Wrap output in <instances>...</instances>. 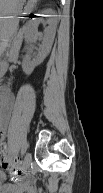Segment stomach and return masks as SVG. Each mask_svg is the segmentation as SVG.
<instances>
[{"label":"stomach","instance_id":"0dacf381","mask_svg":"<svg viewBox=\"0 0 103 193\" xmlns=\"http://www.w3.org/2000/svg\"><path fill=\"white\" fill-rule=\"evenodd\" d=\"M36 2L37 0H0V14L3 17L27 14L33 10ZM2 21L0 49L3 52L9 42L11 29L7 26V19Z\"/></svg>","mask_w":103,"mask_h":193}]
</instances>
